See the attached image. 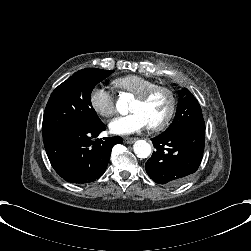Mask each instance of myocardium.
<instances>
[{
    "instance_id": "obj_1",
    "label": "myocardium",
    "mask_w": 251,
    "mask_h": 251,
    "mask_svg": "<svg viewBox=\"0 0 251 251\" xmlns=\"http://www.w3.org/2000/svg\"><path fill=\"white\" fill-rule=\"evenodd\" d=\"M159 90H165L170 94L171 105L166 116L162 120L149 125L150 129L152 130H161L170 124L171 120L173 119L175 115L177 105H178V98H177L176 91L169 85L155 83L154 85L149 87L147 90H145L144 92L136 96V99L142 102H147Z\"/></svg>"
}]
</instances>
